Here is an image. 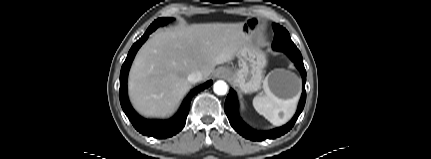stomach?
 <instances>
[{"instance_id": "stomach-1", "label": "stomach", "mask_w": 431, "mask_h": 159, "mask_svg": "<svg viewBox=\"0 0 431 159\" xmlns=\"http://www.w3.org/2000/svg\"><path fill=\"white\" fill-rule=\"evenodd\" d=\"M259 26V20L255 17L248 18L243 23V30L248 40L238 54V66L230 68L231 82L244 93L258 91L262 82L266 81L269 90L280 99H291L299 95L300 79L288 71H272L263 81V69L267 63L266 56L252 42Z\"/></svg>"}]
</instances>
